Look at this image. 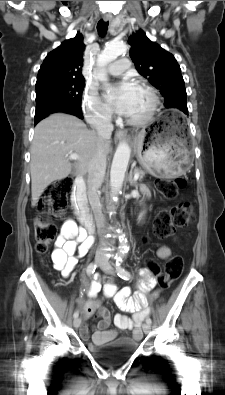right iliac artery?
I'll return each mask as SVG.
<instances>
[{"label":"right iliac artery","mask_w":225,"mask_h":395,"mask_svg":"<svg viewBox=\"0 0 225 395\" xmlns=\"http://www.w3.org/2000/svg\"><path fill=\"white\" fill-rule=\"evenodd\" d=\"M96 267H97L96 264L90 263V264L87 266V268H86L87 274H88L89 276L92 275V274L95 272ZM78 315H79V313H78V311H76V312H74L73 317H74V318H77Z\"/></svg>","instance_id":"obj_1"}]
</instances>
